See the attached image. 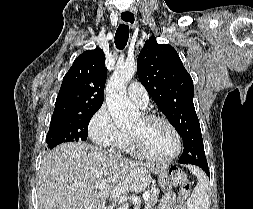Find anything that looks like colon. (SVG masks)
Instances as JSON below:
<instances>
[{
  "label": "colon",
  "mask_w": 253,
  "mask_h": 209,
  "mask_svg": "<svg viewBox=\"0 0 253 209\" xmlns=\"http://www.w3.org/2000/svg\"><path fill=\"white\" fill-rule=\"evenodd\" d=\"M168 183L173 186L180 185L179 204L177 207L178 209H185V203L190 193V184L186 174L179 170H171Z\"/></svg>",
  "instance_id": "obj_1"
}]
</instances>
